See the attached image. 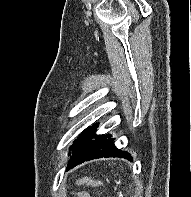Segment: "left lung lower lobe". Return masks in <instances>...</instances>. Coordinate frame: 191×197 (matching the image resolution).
Listing matches in <instances>:
<instances>
[{
    "label": "left lung lower lobe",
    "instance_id": "0a47b994",
    "mask_svg": "<svg viewBox=\"0 0 191 197\" xmlns=\"http://www.w3.org/2000/svg\"><path fill=\"white\" fill-rule=\"evenodd\" d=\"M98 124L85 129L71 146L73 153L67 170L82 162L102 157H120L132 160L127 151H121L114 145V138L107 135H96Z\"/></svg>",
    "mask_w": 191,
    "mask_h": 197
}]
</instances>
